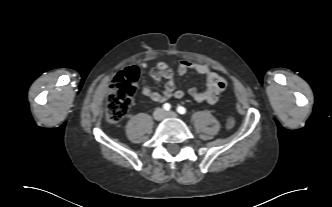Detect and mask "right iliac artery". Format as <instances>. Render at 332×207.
Listing matches in <instances>:
<instances>
[{"label":"right iliac artery","instance_id":"82829eb1","mask_svg":"<svg viewBox=\"0 0 332 207\" xmlns=\"http://www.w3.org/2000/svg\"><path fill=\"white\" fill-rule=\"evenodd\" d=\"M170 108H171V105H170L169 103H165V104L163 105V109L166 110V111H169Z\"/></svg>","mask_w":332,"mask_h":207}]
</instances>
